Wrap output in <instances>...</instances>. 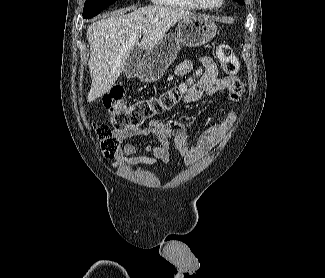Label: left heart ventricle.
I'll return each mask as SVG.
<instances>
[{"label":"left heart ventricle","instance_id":"obj_1","mask_svg":"<svg viewBox=\"0 0 325 278\" xmlns=\"http://www.w3.org/2000/svg\"><path fill=\"white\" fill-rule=\"evenodd\" d=\"M202 2L207 6H216L219 4L220 0H202Z\"/></svg>","mask_w":325,"mask_h":278}]
</instances>
